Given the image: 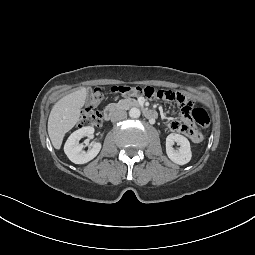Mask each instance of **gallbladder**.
<instances>
[{
	"label": "gallbladder",
	"mask_w": 255,
	"mask_h": 255,
	"mask_svg": "<svg viewBox=\"0 0 255 255\" xmlns=\"http://www.w3.org/2000/svg\"><path fill=\"white\" fill-rule=\"evenodd\" d=\"M90 96V92H88V97Z\"/></svg>",
	"instance_id": "bac80fb5"
}]
</instances>
